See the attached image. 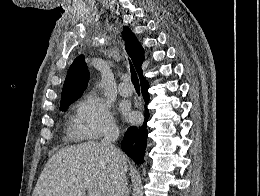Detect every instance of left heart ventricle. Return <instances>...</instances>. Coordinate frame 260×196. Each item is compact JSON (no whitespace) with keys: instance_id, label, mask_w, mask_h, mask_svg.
<instances>
[{"instance_id":"1","label":"left heart ventricle","mask_w":260,"mask_h":196,"mask_svg":"<svg viewBox=\"0 0 260 196\" xmlns=\"http://www.w3.org/2000/svg\"><path fill=\"white\" fill-rule=\"evenodd\" d=\"M96 191L105 192L106 190H96ZM55 192H66V190H55Z\"/></svg>"}]
</instances>
